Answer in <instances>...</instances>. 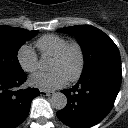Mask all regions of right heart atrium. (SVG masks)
Returning a JSON list of instances; mask_svg holds the SVG:
<instances>
[{
	"instance_id": "obj_1",
	"label": "right heart atrium",
	"mask_w": 128,
	"mask_h": 128,
	"mask_svg": "<svg viewBox=\"0 0 128 128\" xmlns=\"http://www.w3.org/2000/svg\"><path fill=\"white\" fill-rule=\"evenodd\" d=\"M17 60L25 72L33 73L39 68L38 56L28 44H24L18 49Z\"/></svg>"
}]
</instances>
